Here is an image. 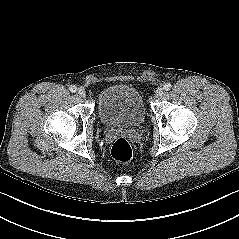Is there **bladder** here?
<instances>
[{"label": "bladder", "instance_id": "1", "mask_svg": "<svg viewBox=\"0 0 239 239\" xmlns=\"http://www.w3.org/2000/svg\"><path fill=\"white\" fill-rule=\"evenodd\" d=\"M98 114L108 128H132L145 119V106L141 93L127 84H113L98 97Z\"/></svg>", "mask_w": 239, "mask_h": 239}]
</instances>
